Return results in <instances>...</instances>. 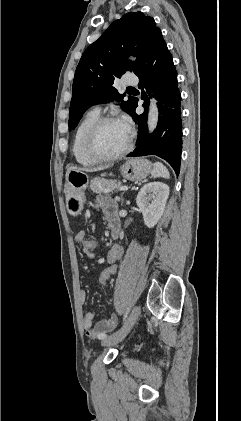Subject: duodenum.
I'll use <instances>...</instances> for the list:
<instances>
[{"mask_svg": "<svg viewBox=\"0 0 241 421\" xmlns=\"http://www.w3.org/2000/svg\"><path fill=\"white\" fill-rule=\"evenodd\" d=\"M109 225L111 227L112 233L117 236L120 231V222L117 216H111L109 218Z\"/></svg>", "mask_w": 241, "mask_h": 421, "instance_id": "obj_1", "label": "duodenum"}]
</instances>
